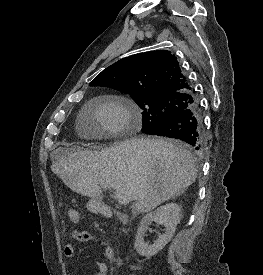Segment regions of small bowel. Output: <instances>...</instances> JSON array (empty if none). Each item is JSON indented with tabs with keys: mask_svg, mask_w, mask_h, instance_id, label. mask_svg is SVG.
<instances>
[{
	"mask_svg": "<svg viewBox=\"0 0 263 275\" xmlns=\"http://www.w3.org/2000/svg\"><path fill=\"white\" fill-rule=\"evenodd\" d=\"M71 238L73 241L78 242H98L97 238L88 231H78L75 230L71 233ZM64 256L66 258H72L75 255V247L73 243H68L63 249ZM104 256L108 259L113 258L114 250L110 246H105ZM98 271L93 275H108V267L103 262L97 263Z\"/></svg>",
	"mask_w": 263,
	"mask_h": 275,
	"instance_id": "obj_1",
	"label": "small bowel"
}]
</instances>
